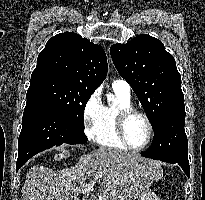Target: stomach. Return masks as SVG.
<instances>
[{"label": "stomach", "mask_w": 205, "mask_h": 200, "mask_svg": "<svg viewBox=\"0 0 205 200\" xmlns=\"http://www.w3.org/2000/svg\"><path fill=\"white\" fill-rule=\"evenodd\" d=\"M161 171V169H159ZM137 200H160L159 197L151 190L144 192Z\"/></svg>", "instance_id": "stomach-1"}]
</instances>
